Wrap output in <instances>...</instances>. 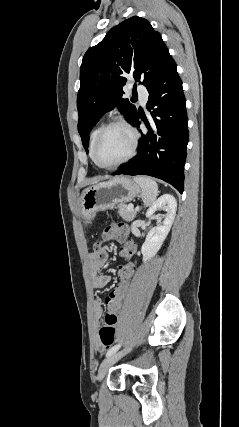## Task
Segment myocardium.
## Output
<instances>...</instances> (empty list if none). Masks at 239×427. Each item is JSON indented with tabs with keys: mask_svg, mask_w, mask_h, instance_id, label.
<instances>
[{
	"mask_svg": "<svg viewBox=\"0 0 239 427\" xmlns=\"http://www.w3.org/2000/svg\"><path fill=\"white\" fill-rule=\"evenodd\" d=\"M118 126L125 128L131 134V136H132L131 149H130L129 153L119 162L112 164V165L103 164L99 161V159L97 157L98 145H99L103 135L109 129H111L113 127H118ZM138 144H139V133H138V131L127 120L122 119V118H116V119L108 122L107 124L103 125L102 128L99 130V132L95 138V141L93 143V147H92V159L95 162V164L102 169H106V170L115 169V168L122 166L123 164L127 163L128 161H130L136 155Z\"/></svg>",
	"mask_w": 239,
	"mask_h": 427,
	"instance_id": "f54148a6",
	"label": "myocardium"
}]
</instances>
